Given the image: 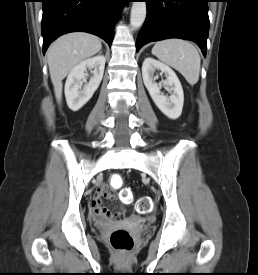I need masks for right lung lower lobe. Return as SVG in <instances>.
<instances>
[{
	"label": "right lung lower lobe",
	"mask_w": 258,
	"mask_h": 275,
	"mask_svg": "<svg viewBox=\"0 0 258 275\" xmlns=\"http://www.w3.org/2000/svg\"><path fill=\"white\" fill-rule=\"evenodd\" d=\"M43 53L59 36L85 31L111 46L114 25L129 0H42Z\"/></svg>",
	"instance_id": "right-lung-lower-lobe-1"
}]
</instances>
